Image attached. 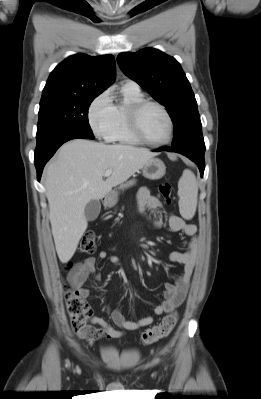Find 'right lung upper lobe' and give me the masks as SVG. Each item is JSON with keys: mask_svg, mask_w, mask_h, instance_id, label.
I'll list each match as a JSON object with an SVG mask.
<instances>
[{"mask_svg": "<svg viewBox=\"0 0 261 399\" xmlns=\"http://www.w3.org/2000/svg\"><path fill=\"white\" fill-rule=\"evenodd\" d=\"M115 79V61L112 55L91 57L72 55L51 72L42 96L99 95Z\"/></svg>", "mask_w": 261, "mask_h": 399, "instance_id": "cb5924a9", "label": "right lung upper lobe"}]
</instances>
